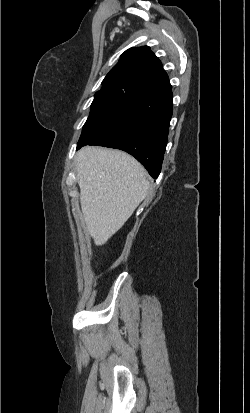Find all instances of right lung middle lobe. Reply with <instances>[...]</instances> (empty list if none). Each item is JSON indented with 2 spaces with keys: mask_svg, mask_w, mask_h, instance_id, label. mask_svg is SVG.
Instances as JSON below:
<instances>
[{
  "mask_svg": "<svg viewBox=\"0 0 250 413\" xmlns=\"http://www.w3.org/2000/svg\"><path fill=\"white\" fill-rule=\"evenodd\" d=\"M139 95L133 91L101 89L91 105L90 115L83 126L77 147L84 146L103 132L120 115L126 105Z\"/></svg>",
  "mask_w": 250,
  "mask_h": 413,
  "instance_id": "right-lung-middle-lobe-1",
  "label": "right lung middle lobe"
}]
</instances>
